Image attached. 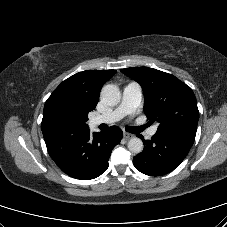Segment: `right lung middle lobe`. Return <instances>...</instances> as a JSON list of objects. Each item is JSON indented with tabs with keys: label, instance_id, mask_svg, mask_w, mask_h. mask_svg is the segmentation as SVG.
<instances>
[{
	"label": "right lung middle lobe",
	"instance_id": "1",
	"mask_svg": "<svg viewBox=\"0 0 227 227\" xmlns=\"http://www.w3.org/2000/svg\"><path fill=\"white\" fill-rule=\"evenodd\" d=\"M76 119L73 110L65 106H55L48 114V125L53 129H70Z\"/></svg>",
	"mask_w": 227,
	"mask_h": 227
}]
</instances>
